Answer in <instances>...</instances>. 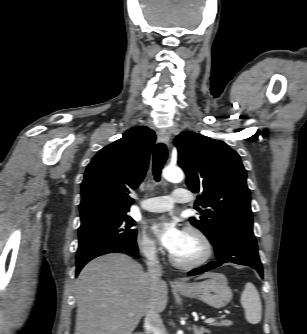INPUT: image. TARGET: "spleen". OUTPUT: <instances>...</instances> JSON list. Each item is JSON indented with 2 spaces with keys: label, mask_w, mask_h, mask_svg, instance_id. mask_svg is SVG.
Instances as JSON below:
<instances>
[{
  "label": "spleen",
  "mask_w": 307,
  "mask_h": 334,
  "mask_svg": "<svg viewBox=\"0 0 307 334\" xmlns=\"http://www.w3.org/2000/svg\"><path fill=\"white\" fill-rule=\"evenodd\" d=\"M240 301L245 309L246 320L251 324H258L261 321L262 304L259 293L253 283H246Z\"/></svg>",
  "instance_id": "obj_1"
}]
</instances>
